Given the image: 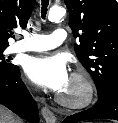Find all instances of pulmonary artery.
<instances>
[{
    "instance_id": "e3ab8cb5",
    "label": "pulmonary artery",
    "mask_w": 118,
    "mask_h": 123,
    "mask_svg": "<svg viewBox=\"0 0 118 123\" xmlns=\"http://www.w3.org/2000/svg\"><path fill=\"white\" fill-rule=\"evenodd\" d=\"M66 38L67 32L64 28H57L50 35L25 34L24 39L15 43L11 50L12 52L46 51L59 46Z\"/></svg>"
}]
</instances>
